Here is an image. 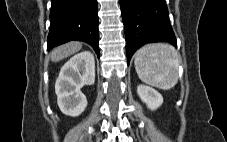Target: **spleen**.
Returning <instances> with one entry per match:
<instances>
[{
    "label": "spleen",
    "mask_w": 227,
    "mask_h": 142,
    "mask_svg": "<svg viewBox=\"0 0 227 142\" xmlns=\"http://www.w3.org/2000/svg\"><path fill=\"white\" fill-rule=\"evenodd\" d=\"M134 64L139 78L151 86L168 90L178 82V54L169 44H149L140 48Z\"/></svg>",
    "instance_id": "1"
}]
</instances>
